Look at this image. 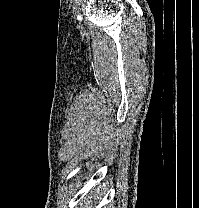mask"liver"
I'll list each match as a JSON object with an SVG mask.
<instances>
[{
    "instance_id": "obj_1",
    "label": "liver",
    "mask_w": 199,
    "mask_h": 208,
    "mask_svg": "<svg viewBox=\"0 0 199 208\" xmlns=\"http://www.w3.org/2000/svg\"><path fill=\"white\" fill-rule=\"evenodd\" d=\"M85 204L87 206L89 204V202H86ZM85 208H94V207H92V205L90 206V204H89V207H85Z\"/></svg>"
}]
</instances>
